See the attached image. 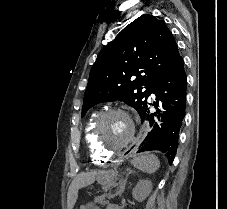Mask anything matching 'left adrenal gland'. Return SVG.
<instances>
[{
	"mask_svg": "<svg viewBox=\"0 0 227 209\" xmlns=\"http://www.w3.org/2000/svg\"><path fill=\"white\" fill-rule=\"evenodd\" d=\"M127 177H128V175H126L125 179H121V181H119V183H118L119 187H118V191H117L116 195H120V197L124 193V189H125L126 183H127Z\"/></svg>",
	"mask_w": 227,
	"mask_h": 209,
	"instance_id": "left-adrenal-gland-1",
	"label": "left adrenal gland"
}]
</instances>
